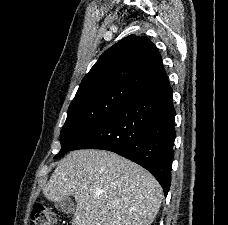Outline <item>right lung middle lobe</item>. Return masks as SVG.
I'll return each instance as SVG.
<instances>
[{
	"instance_id": "obj_1",
	"label": "right lung middle lobe",
	"mask_w": 228,
	"mask_h": 225,
	"mask_svg": "<svg viewBox=\"0 0 228 225\" xmlns=\"http://www.w3.org/2000/svg\"><path fill=\"white\" fill-rule=\"evenodd\" d=\"M138 90L139 88L124 82H110L79 93L69 106L60 135L61 150L55 158L70 151L83 136L109 117Z\"/></svg>"
}]
</instances>
